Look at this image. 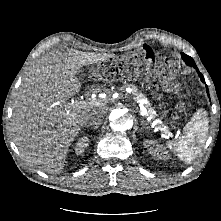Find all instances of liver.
<instances>
[{"label":"liver","mask_w":221,"mask_h":221,"mask_svg":"<svg viewBox=\"0 0 221 221\" xmlns=\"http://www.w3.org/2000/svg\"><path fill=\"white\" fill-rule=\"evenodd\" d=\"M111 53L53 50L31 67L16 94L11 131L20 154L30 165L47 173H60L71 143L90 116H103L107 104L100 99L85 105L68 100L81 89L77 77L84 66L108 60Z\"/></svg>","instance_id":"liver-1"}]
</instances>
